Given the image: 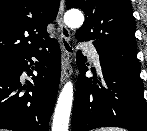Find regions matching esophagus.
<instances>
[{"mask_svg":"<svg viewBox=\"0 0 147 131\" xmlns=\"http://www.w3.org/2000/svg\"><path fill=\"white\" fill-rule=\"evenodd\" d=\"M64 6H65V1L61 0L60 6H59V11L57 14V22L60 27L61 37H62V44H61V47H62V68H61V78H60L61 85L65 82V80L71 74V62H72L71 53L65 48V45L63 42V41L69 42L71 40V33L63 21Z\"/></svg>","mask_w":147,"mask_h":131,"instance_id":"obj_1","label":"esophagus"}]
</instances>
